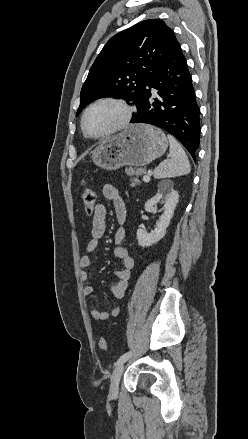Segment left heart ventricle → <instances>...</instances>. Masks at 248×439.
<instances>
[{
  "instance_id": "b2bd125f",
  "label": "left heart ventricle",
  "mask_w": 248,
  "mask_h": 439,
  "mask_svg": "<svg viewBox=\"0 0 248 439\" xmlns=\"http://www.w3.org/2000/svg\"><path fill=\"white\" fill-rule=\"evenodd\" d=\"M123 117L122 109L113 103H102L89 111L85 121L88 133L102 134L119 124Z\"/></svg>"
}]
</instances>
